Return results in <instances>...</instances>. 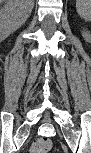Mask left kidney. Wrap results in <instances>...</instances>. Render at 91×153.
I'll return each instance as SVG.
<instances>
[{"label":"left kidney","mask_w":91,"mask_h":153,"mask_svg":"<svg viewBox=\"0 0 91 153\" xmlns=\"http://www.w3.org/2000/svg\"><path fill=\"white\" fill-rule=\"evenodd\" d=\"M82 36L85 38L86 41L90 40V33L88 31H83Z\"/></svg>","instance_id":"5707ae66"}]
</instances>
